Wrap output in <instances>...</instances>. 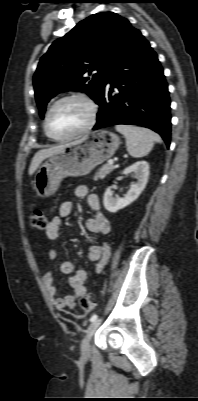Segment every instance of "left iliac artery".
Listing matches in <instances>:
<instances>
[{"label": "left iliac artery", "instance_id": "44dca946", "mask_svg": "<svg viewBox=\"0 0 198 401\" xmlns=\"http://www.w3.org/2000/svg\"><path fill=\"white\" fill-rule=\"evenodd\" d=\"M95 320H97V315L96 314L92 315L91 318H90L91 322H93Z\"/></svg>", "mask_w": 198, "mask_h": 401}]
</instances>
